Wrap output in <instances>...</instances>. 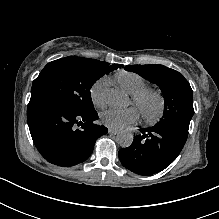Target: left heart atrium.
Masks as SVG:
<instances>
[{
    "instance_id": "left-heart-atrium-1",
    "label": "left heart atrium",
    "mask_w": 219,
    "mask_h": 219,
    "mask_svg": "<svg viewBox=\"0 0 219 219\" xmlns=\"http://www.w3.org/2000/svg\"><path fill=\"white\" fill-rule=\"evenodd\" d=\"M140 118V111L136 106L126 109L110 108L101 113L104 125L113 129H123L136 123Z\"/></svg>"
}]
</instances>
